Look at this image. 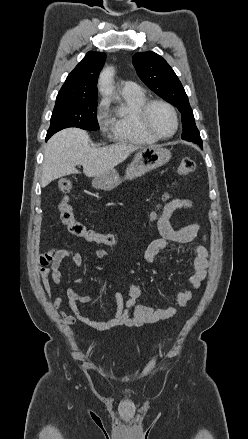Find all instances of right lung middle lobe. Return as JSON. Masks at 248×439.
I'll return each instance as SVG.
<instances>
[{
	"instance_id": "right-lung-middle-lobe-1",
	"label": "right lung middle lobe",
	"mask_w": 248,
	"mask_h": 439,
	"mask_svg": "<svg viewBox=\"0 0 248 439\" xmlns=\"http://www.w3.org/2000/svg\"><path fill=\"white\" fill-rule=\"evenodd\" d=\"M96 111L97 98H57L46 140L54 133L67 127L98 130Z\"/></svg>"
}]
</instances>
